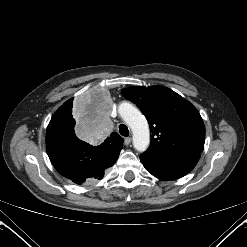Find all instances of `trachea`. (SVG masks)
<instances>
[{
	"instance_id": "1",
	"label": "trachea",
	"mask_w": 247,
	"mask_h": 247,
	"mask_svg": "<svg viewBox=\"0 0 247 247\" xmlns=\"http://www.w3.org/2000/svg\"><path fill=\"white\" fill-rule=\"evenodd\" d=\"M119 132L122 136H125V137H127L129 135V130H128L127 126L124 124H121L119 126Z\"/></svg>"
}]
</instances>
